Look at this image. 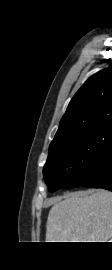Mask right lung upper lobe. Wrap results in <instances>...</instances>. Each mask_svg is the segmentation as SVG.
<instances>
[{
	"instance_id": "obj_1",
	"label": "right lung upper lobe",
	"mask_w": 112,
	"mask_h": 270,
	"mask_svg": "<svg viewBox=\"0 0 112 270\" xmlns=\"http://www.w3.org/2000/svg\"><path fill=\"white\" fill-rule=\"evenodd\" d=\"M112 122V65L90 77L70 101L50 147Z\"/></svg>"
}]
</instances>
